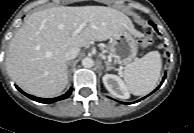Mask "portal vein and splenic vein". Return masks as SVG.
<instances>
[{
    "mask_svg": "<svg viewBox=\"0 0 194 133\" xmlns=\"http://www.w3.org/2000/svg\"><path fill=\"white\" fill-rule=\"evenodd\" d=\"M83 26H84V25H81L77 30H75V31L73 32V34H74V35L78 34V33L82 30Z\"/></svg>",
    "mask_w": 194,
    "mask_h": 133,
    "instance_id": "portal-vein-and-splenic-vein-1",
    "label": "portal vein and splenic vein"
}]
</instances>
